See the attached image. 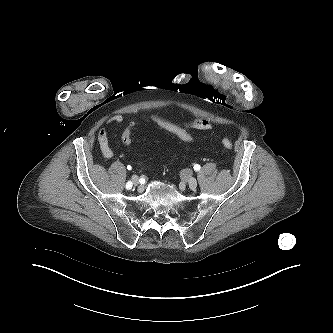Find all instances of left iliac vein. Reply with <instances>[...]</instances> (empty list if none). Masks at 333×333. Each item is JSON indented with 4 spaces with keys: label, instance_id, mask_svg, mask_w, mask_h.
Returning <instances> with one entry per match:
<instances>
[{
    "label": "left iliac vein",
    "instance_id": "4c4485c4",
    "mask_svg": "<svg viewBox=\"0 0 333 333\" xmlns=\"http://www.w3.org/2000/svg\"><path fill=\"white\" fill-rule=\"evenodd\" d=\"M183 180L185 183H187V185L189 186L190 189H195L197 187V180L194 177L186 174L183 177Z\"/></svg>",
    "mask_w": 333,
    "mask_h": 333
}]
</instances>
